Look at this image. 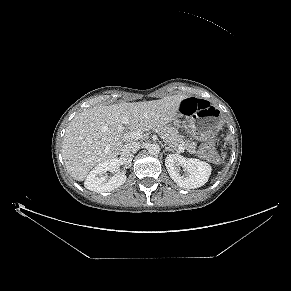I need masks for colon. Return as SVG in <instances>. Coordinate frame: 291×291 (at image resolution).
<instances>
[{"instance_id":"obj_1","label":"colon","mask_w":291,"mask_h":291,"mask_svg":"<svg viewBox=\"0 0 291 291\" xmlns=\"http://www.w3.org/2000/svg\"><path fill=\"white\" fill-rule=\"evenodd\" d=\"M183 106L186 108V113H194L198 109H204L208 107V103L205 100H196L190 103H183ZM203 154L212 162L219 163L222 159L217 155L216 144L214 140L206 141L202 146Z\"/></svg>"}]
</instances>
